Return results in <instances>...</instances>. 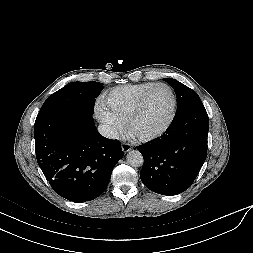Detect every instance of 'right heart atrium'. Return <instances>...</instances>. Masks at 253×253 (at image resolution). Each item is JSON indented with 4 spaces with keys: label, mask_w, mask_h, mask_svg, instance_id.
Listing matches in <instances>:
<instances>
[{
    "label": "right heart atrium",
    "mask_w": 253,
    "mask_h": 253,
    "mask_svg": "<svg viewBox=\"0 0 253 253\" xmlns=\"http://www.w3.org/2000/svg\"><path fill=\"white\" fill-rule=\"evenodd\" d=\"M95 112L97 118L104 124L111 136L115 137L124 130V124L108 110L104 103L98 102L95 107Z\"/></svg>",
    "instance_id": "right-heart-atrium-1"
}]
</instances>
